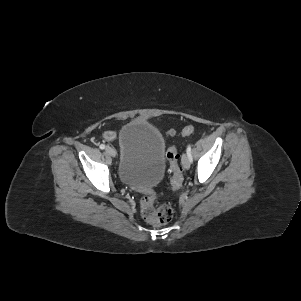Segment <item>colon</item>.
<instances>
[{"label":"colon","instance_id":"1","mask_svg":"<svg viewBox=\"0 0 301 301\" xmlns=\"http://www.w3.org/2000/svg\"><path fill=\"white\" fill-rule=\"evenodd\" d=\"M194 133V127L191 125L185 126L182 129L183 136H190ZM111 138V134L106 135ZM169 162L170 171L172 172L171 186L178 189L183 182L182 169L179 163V154L176 147H170L166 153ZM141 214L148 222L164 225L171 221L173 217V208L169 204H163L155 207V201L151 196H144L140 201Z\"/></svg>","mask_w":301,"mask_h":301}]
</instances>
